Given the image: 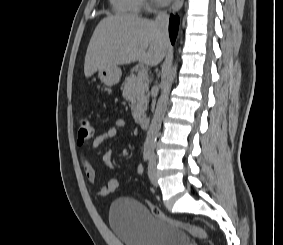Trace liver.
Here are the masks:
<instances>
[{
	"mask_svg": "<svg viewBox=\"0 0 283 245\" xmlns=\"http://www.w3.org/2000/svg\"><path fill=\"white\" fill-rule=\"evenodd\" d=\"M169 48L168 34L155 21L133 15L107 16L97 25L87 48L84 74L139 61L158 65Z\"/></svg>",
	"mask_w": 283,
	"mask_h": 245,
	"instance_id": "1",
	"label": "liver"
}]
</instances>
